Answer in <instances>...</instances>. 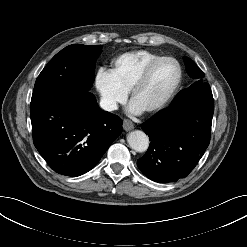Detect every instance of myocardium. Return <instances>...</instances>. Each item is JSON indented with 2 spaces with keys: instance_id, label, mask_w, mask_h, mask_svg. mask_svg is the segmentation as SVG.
<instances>
[{
  "instance_id": "1",
  "label": "myocardium",
  "mask_w": 247,
  "mask_h": 247,
  "mask_svg": "<svg viewBox=\"0 0 247 247\" xmlns=\"http://www.w3.org/2000/svg\"><path fill=\"white\" fill-rule=\"evenodd\" d=\"M163 60H170V61L175 63V65L177 67V78H176L173 86L171 87V89L168 91V93L159 102H157L156 104L152 105L151 107L145 109V111L149 112V113L156 112V111L162 109L172 99V97L175 95L176 91L178 90V88L181 84V81H182V67H181L180 63L178 62V60L172 56H159L158 58L154 59L153 61H151L150 63H148L145 66V68L142 70V72L136 78V80L134 81V83L130 89V96H131V99L133 100L136 93L138 92V90L148 80L154 67L159 62H161Z\"/></svg>"
}]
</instances>
